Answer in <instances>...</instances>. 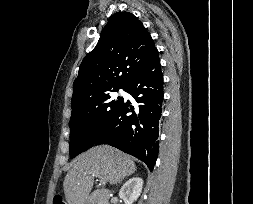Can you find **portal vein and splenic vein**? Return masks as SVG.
Here are the masks:
<instances>
[{
    "label": "portal vein and splenic vein",
    "instance_id": "1",
    "mask_svg": "<svg viewBox=\"0 0 253 204\" xmlns=\"http://www.w3.org/2000/svg\"><path fill=\"white\" fill-rule=\"evenodd\" d=\"M92 176L100 178L99 175L97 173H94V172L92 173ZM99 182H100V185H104L106 183L103 179H100Z\"/></svg>",
    "mask_w": 253,
    "mask_h": 204
}]
</instances>
